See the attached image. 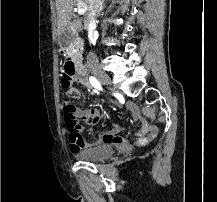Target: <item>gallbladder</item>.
Returning <instances> with one entry per match:
<instances>
[{
  "label": "gallbladder",
  "mask_w": 217,
  "mask_h": 202,
  "mask_svg": "<svg viewBox=\"0 0 217 202\" xmlns=\"http://www.w3.org/2000/svg\"><path fill=\"white\" fill-rule=\"evenodd\" d=\"M73 38H75V34H71V32H63V34H60L58 38L60 46L67 48L69 44H72Z\"/></svg>",
  "instance_id": "obj_1"
}]
</instances>
